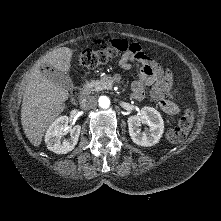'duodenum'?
I'll use <instances>...</instances> for the list:
<instances>
[{
  "instance_id": "obj_1",
  "label": "duodenum",
  "mask_w": 221,
  "mask_h": 221,
  "mask_svg": "<svg viewBox=\"0 0 221 221\" xmlns=\"http://www.w3.org/2000/svg\"><path fill=\"white\" fill-rule=\"evenodd\" d=\"M89 93V85L87 82H83L79 90V98H85Z\"/></svg>"
}]
</instances>
